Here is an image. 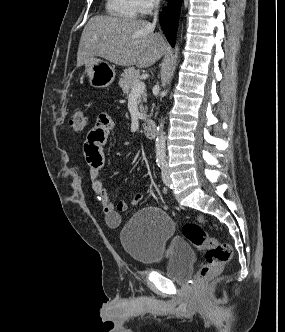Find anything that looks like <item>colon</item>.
Instances as JSON below:
<instances>
[{
    "instance_id": "5ec220e1",
    "label": "colon",
    "mask_w": 285,
    "mask_h": 332,
    "mask_svg": "<svg viewBox=\"0 0 285 332\" xmlns=\"http://www.w3.org/2000/svg\"><path fill=\"white\" fill-rule=\"evenodd\" d=\"M69 123L76 133H83L88 125L87 113L82 109L75 110ZM205 221L204 217H198L196 221L187 222L182 227L184 237L198 250L205 252V263L197 274L199 281L218 273L232 258V247L209 237L204 228Z\"/></svg>"
}]
</instances>
